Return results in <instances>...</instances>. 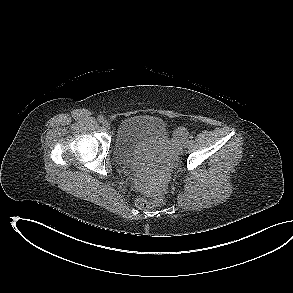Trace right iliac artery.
<instances>
[{
    "label": "right iliac artery",
    "instance_id": "82829eb1",
    "mask_svg": "<svg viewBox=\"0 0 293 293\" xmlns=\"http://www.w3.org/2000/svg\"><path fill=\"white\" fill-rule=\"evenodd\" d=\"M98 121H99L100 123H103V121H104V117L100 115V116L98 117Z\"/></svg>",
    "mask_w": 293,
    "mask_h": 293
}]
</instances>
